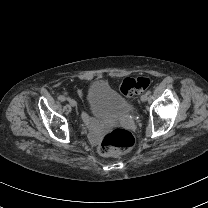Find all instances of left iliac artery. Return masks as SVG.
Listing matches in <instances>:
<instances>
[{
	"instance_id": "left-iliac-artery-1",
	"label": "left iliac artery",
	"mask_w": 208,
	"mask_h": 208,
	"mask_svg": "<svg viewBox=\"0 0 208 208\" xmlns=\"http://www.w3.org/2000/svg\"><path fill=\"white\" fill-rule=\"evenodd\" d=\"M146 94H147V95H150V94H151V91H150V90H148V91L146 92Z\"/></svg>"
}]
</instances>
